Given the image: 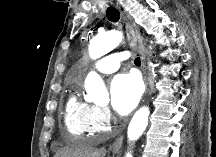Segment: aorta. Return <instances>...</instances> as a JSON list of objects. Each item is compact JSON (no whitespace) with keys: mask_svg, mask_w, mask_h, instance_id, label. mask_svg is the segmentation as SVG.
Segmentation results:
<instances>
[{"mask_svg":"<svg viewBox=\"0 0 216 157\" xmlns=\"http://www.w3.org/2000/svg\"><path fill=\"white\" fill-rule=\"evenodd\" d=\"M122 40V33L110 31L103 35L94 37L90 41L89 55L92 59H97L116 48ZM87 91L86 99L96 104L109 101V94L106 90L102 78L95 72H90L85 80ZM150 110L148 107L140 108L133 116L127 131L129 141H136L145 131L148 125ZM126 157H132L131 152H127Z\"/></svg>","mask_w":216,"mask_h":157,"instance_id":"1","label":"aorta"}]
</instances>
